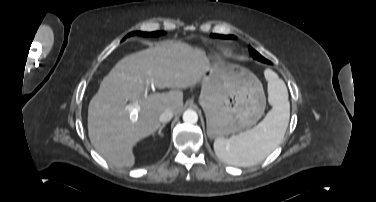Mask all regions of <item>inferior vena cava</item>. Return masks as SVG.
Returning <instances> with one entry per match:
<instances>
[{
    "instance_id": "obj_1",
    "label": "inferior vena cava",
    "mask_w": 376,
    "mask_h": 202,
    "mask_svg": "<svg viewBox=\"0 0 376 202\" xmlns=\"http://www.w3.org/2000/svg\"><path fill=\"white\" fill-rule=\"evenodd\" d=\"M173 117V112L170 109H166L159 117V121L162 123L169 122Z\"/></svg>"
}]
</instances>
